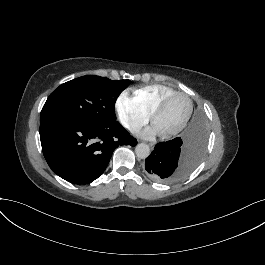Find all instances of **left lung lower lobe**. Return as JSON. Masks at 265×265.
<instances>
[{
  "instance_id": "obj_1",
  "label": "left lung lower lobe",
  "mask_w": 265,
  "mask_h": 265,
  "mask_svg": "<svg viewBox=\"0 0 265 265\" xmlns=\"http://www.w3.org/2000/svg\"><path fill=\"white\" fill-rule=\"evenodd\" d=\"M207 126L200 111L196 112L181 137L160 142L145 160L147 175L161 183L178 181L188 175L203 157Z\"/></svg>"
}]
</instances>
